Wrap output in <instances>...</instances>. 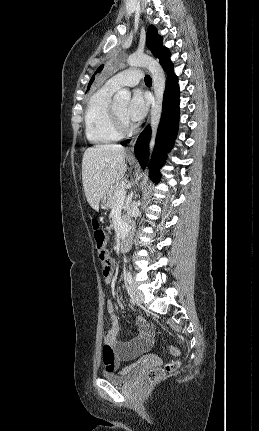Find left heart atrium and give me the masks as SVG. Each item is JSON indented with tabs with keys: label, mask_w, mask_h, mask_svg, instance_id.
<instances>
[{
	"label": "left heart atrium",
	"mask_w": 259,
	"mask_h": 431,
	"mask_svg": "<svg viewBox=\"0 0 259 431\" xmlns=\"http://www.w3.org/2000/svg\"><path fill=\"white\" fill-rule=\"evenodd\" d=\"M148 99L140 90L132 93L131 99L125 110V118L128 122H139L147 113Z\"/></svg>",
	"instance_id": "39dd6f15"
}]
</instances>
